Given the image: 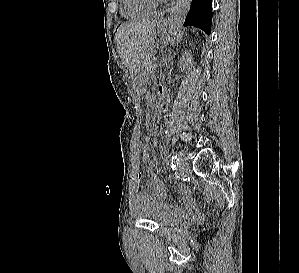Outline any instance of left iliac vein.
I'll use <instances>...</instances> for the list:
<instances>
[{"label":"left iliac vein","instance_id":"left-iliac-vein-1","mask_svg":"<svg viewBox=\"0 0 299 273\" xmlns=\"http://www.w3.org/2000/svg\"><path fill=\"white\" fill-rule=\"evenodd\" d=\"M178 158H179L178 166L180 171H185L187 169V162L182 152L178 153Z\"/></svg>","mask_w":299,"mask_h":273}]
</instances>
